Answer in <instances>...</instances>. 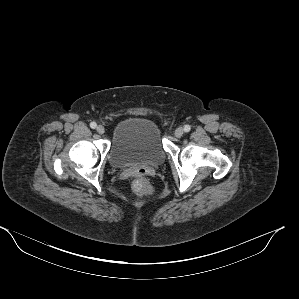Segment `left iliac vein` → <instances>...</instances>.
Listing matches in <instances>:
<instances>
[{"label": "left iliac vein", "mask_w": 299, "mask_h": 299, "mask_svg": "<svg viewBox=\"0 0 299 299\" xmlns=\"http://www.w3.org/2000/svg\"><path fill=\"white\" fill-rule=\"evenodd\" d=\"M184 134V130H183V128H181V127H179V128H177L176 130H175V136L176 137H181L182 135Z\"/></svg>", "instance_id": "left-iliac-vein-1"}]
</instances>
